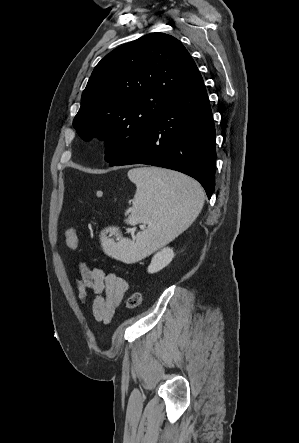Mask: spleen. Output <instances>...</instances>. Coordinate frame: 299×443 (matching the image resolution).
Wrapping results in <instances>:
<instances>
[{"label": "spleen", "mask_w": 299, "mask_h": 443, "mask_svg": "<svg viewBox=\"0 0 299 443\" xmlns=\"http://www.w3.org/2000/svg\"><path fill=\"white\" fill-rule=\"evenodd\" d=\"M128 178L137 190L126 222L148 226L135 240L119 238L118 229L108 227L101 232V243L108 256L134 263L172 241L194 222L203 207L204 192L192 178L161 168L131 169ZM108 233L117 241L108 238Z\"/></svg>", "instance_id": "3e777b00"}]
</instances>
